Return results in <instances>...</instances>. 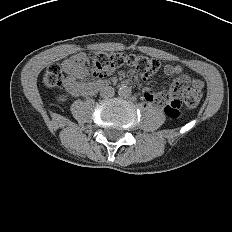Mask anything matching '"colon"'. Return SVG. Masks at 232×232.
Here are the masks:
<instances>
[{"mask_svg":"<svg viewBox=\"0 0 232 232\" xmlns=\"http://www.w3.org/2000/svg\"><path fill=\"white\" fill-rule=\"evenodd\" d=\"M79 65L88 64L94 76H107L122 66L135 69L143 76H151L161 70V63L146 56L126 55L112 52H93L88 58L77 57ZM64 65L53 64L44 74L43 82L47 87H60L65 81ZM201 98V89L191 85L189 78H178L169 93H160L155 102L163 107L165 114L170 118H178L187 109L195 108Z\"/></svg>","mask_w":232,"mask_h":232,"instance_id":"obj_1","label":"colon"}]
</instances>
